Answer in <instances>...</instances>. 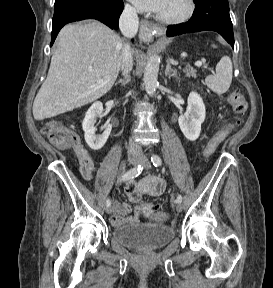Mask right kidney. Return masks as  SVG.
<instances>
[{
    "instance_id": "1",
    "label": "right kidney",
    "mask_w": 273,
    "mask_h": 288,
    "mask_svg": "<svg viewBox=\"0 0 273 288\" xmlns=\"http://www.w3.org/2000/svg\"><path fill=\"white\" fill-rule=\"evenodd\" d=\"M103 112V105L101 102H95L86 112L85 118L82 122L84 131V138L87 145L93 150H100L106 143L112 129V125L107 123L104 132L101 135H95V123L97 117H101Z\"/></svg>"
}]
</instances>
